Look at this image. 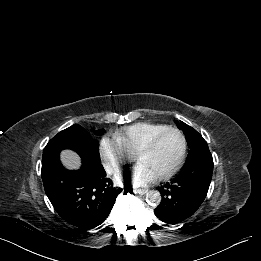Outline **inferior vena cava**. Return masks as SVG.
<instances>
[{"instance_id": "1", "label": "inferior vena cava", "mask_w": 261, "mask_h": 261, "mask_svg": "<svg viewBox=\"0 0 261 261\" xmlns=\"http://www.w3.org/2000/svg\"><path fill=\"white\" fill-rule=\"evenodd\" d=\"M105 170L108 174H112L116 170V166L114 165H106Z\"/></svg>"}]
</instances>
